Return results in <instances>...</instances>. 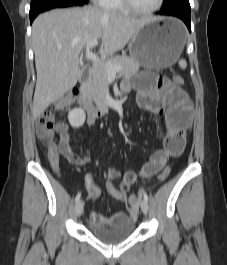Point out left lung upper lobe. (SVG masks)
Segmentation results:
<instances>
[{"mask_svg":"<svg viewBox=\"0 0 227 265\" xmlns=\"http://www.w3.org/2000/svg\"><path fill=\"white\" fill-rule=\"evenodd\" d=\"M162 12H191L189 0H164Z\"/></svg>","mask_w":227,"mask_h":265,"instance_id":"obj_1","label":"left lung upper lobe"}]
</instances>
